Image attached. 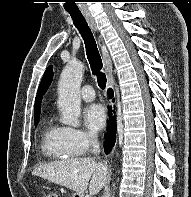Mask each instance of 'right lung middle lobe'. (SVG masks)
Returning <instances> with one entry per match:
<instances>
[{
	"mask_svg": "<svg viewBox=\"0 0 191 197\" xmlns=\"http://www.w3.org/2000/svg\"><path fill=\"white\" fill-rule=\"evenodd\" d=\"M37 122H38V121H35V125H37Z\"/></svg>",
	"mask_w": 191,
	"mask_h": 197,
	"instance_id": "1",
	"label": "right lung middle lobe"
}]
</instances>
